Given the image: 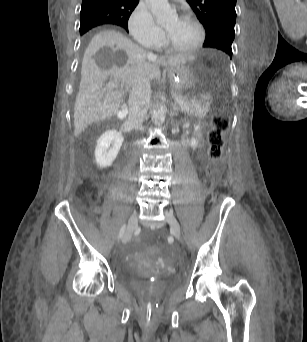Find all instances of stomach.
<instances>
[{
	"label": "stomach",
	"mask_w": 307,
	"mask_h": 342,
	"mask_svg": "<svg viewBox=\"0 0 307 342\" xmlns=\"http://www.w3.org/2000/svg\"><path fill=\"white\" fill-rule=\"evenodd\" d=\"M198 67L199 62L196 59L191 58L186 62L169 69L168 76L175 94L188 100H196L195 78Z\"/></svg>",
	"instance_id": "stomach-1"
}]
</instances>
